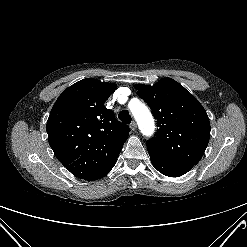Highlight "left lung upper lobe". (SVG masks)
Here are the masks:
<instances>
[{
	"label": "left lung upper lobe",
	"mask_w": 247,
	"mask_h": 247,
	"mask_svg": "<svg viewBox=\"0 0 247 247\" xmlns=\"http://www.w3.org/2000/svg\"><path fill=\"white\" fill-rule=\"evenodd\" d=\"M136 88L157 119V132L146 143L148 151L172 161L196 165L205 152L211 130L203 106L171 78Z\"/></svg>",
	"instance_id": "left-lung-upper-lobe-1"
}]
</instances>
